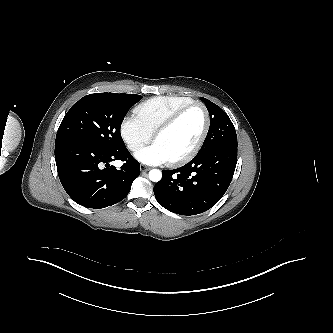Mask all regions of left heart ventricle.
Here are the masks:
<instances>
[{
  "instance_id": "1",
  "label": "left heart ventricle",
  "mask_w": 333,
  "mask_h": 333,
  "mask_svg": "<svg viewBox=\"0 0 333 333\" xmlns=\"http://www.w3.org/2000/svg\"><path fill=\"white\" fill-rule=\"evenodd\" d=\"M204 127V113L200 107L186 112L170 129L155 142L163 149L169 160L188 152L197 142Z\"/></svg>"
}]
</instances>
